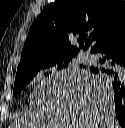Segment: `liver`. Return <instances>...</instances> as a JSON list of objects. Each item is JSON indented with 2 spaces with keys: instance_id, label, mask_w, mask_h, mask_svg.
Instances as JSON below:
<instances>
[{
  "instance_id": "obj_1",
  "label": "liver",
  "mask_w": 125,
  "mask_h": 128,
  "mask_svg": "<svg viewBox=\"0 0 125 128\" xmlns=\"http://www.w3.org/2000/svg\"><path fill=\"white\" fill-rule=\"evenodd\" d=\"M18 128H118L112 91L89 72L66 71L42 81Z\"/></svg>"
}]
</instances>
